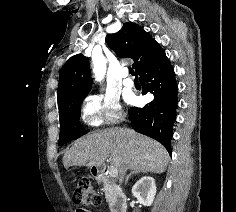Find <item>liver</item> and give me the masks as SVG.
Segmentation results:
<instances>
[{
    "label": "liver",
    "instance_id": "1",
    "mask_svg": "<svg viewBox=\"0 0 236 212\" xmlns=\"http://www.w3.org/2000/svg\"><path fill=\"white\" fill-rule=\"evenodd\" d=\"M109 156L111 167L117 171L125 164L132 170L163 173L170 160L159 142L134 130L115 127L76 140L64 154L63 165L66 169L85 165L100 167Z\"/></svg>",
    "mask_w": 236,
    "mask_h": 212
}]
</instances>
